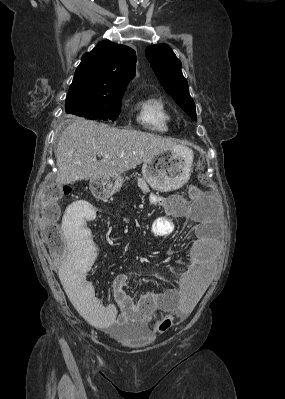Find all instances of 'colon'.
Segmentation results:
<instances>
[{"label": "colon", "mask_w": 285, "mask_h": 399, "mask_svg": "<svg viewBox=\"0 0 285 399\" xmlns=\"http://www.w3.org/2000/svg\"><path fill=\"white\" fill-rule=\"evenodd\" d=\"M203 182L206 181L201 177ZM96 194L97 190L93 189ZM189 196L193 199L199 198L202 195V190L197 187H192L188 192ZM67 195L64 187L57 184H50L43 189L41 193L40 202L38 205L39 227L40 235L45 240L47 248L50 253L59 261H64L69 254V247L66 243V237L62 226L60 225L59 208ZM91 222V219H87ZM71 252L75 249H70ZM91 252L93 249L91 248Z\"/></svg>", "instance_id": "colon-1"}]
</instances>
